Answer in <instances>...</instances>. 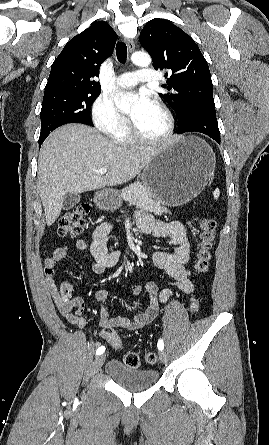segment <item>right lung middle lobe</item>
Returning a JSON list of instances; mask_svg holds the SVG:
<instances>
[{
  "instance_id": "1",
  "label": "right lung middle lobe",
  "mask_w": 269,
  "mask_h": 445,
  "mask_svg": "<svg viewBox=\"0 0 269 445\" xmlns=\"http://www.w3.org/2000/svg\"><path fill=\"white\" fill-rule=\"evenodd\" d=\"M100 91L57 90L44 92L41 109L42 144L51 131L67 123H83L93 126L90 109Z\"/></svg>"
}]
</instances>
